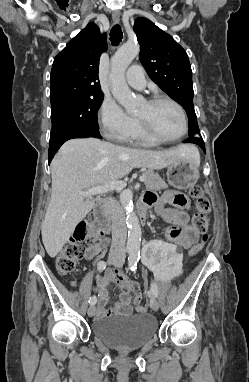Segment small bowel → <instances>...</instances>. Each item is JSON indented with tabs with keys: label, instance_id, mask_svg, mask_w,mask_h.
Here are the masks:
<instances>
[{
	"label": "small bowel",
	"instance_id": "obj_1",
	"mask_svg": "<svg viewBox=\"0 0 249 382\" xmlns=\"http://www.w3.org/2000/svg\"><path fill=\"white\" fill-rule=\"evenodd\" d=\"M143 202L148 207H155L158 215L172 224L167 231V237L171 241H175L176 245H180L182 248H188L199 238L198 229L194 223L190 222L188 213L190 201L185 194L175 191H166L162 196L158 197L155 192L149 191L144 195ZM168 206H172L173 208H168ZM107 246V240L89 246L86 249L85 258L87 260L92 259L96 255L104 252ZM112 283L117 284L121 288L120 299L112 308L106 309L109 295L108 287ZM95 290L99 296L96 310L100 317L129 314L131 312L130 293L140 294L136 282L128 279L120 270L107 271L105 275L99 279Z\"/></svg>",
	"mask_w": 249,
	"mask_h": 382
}]
</instances>
